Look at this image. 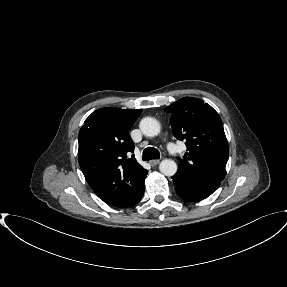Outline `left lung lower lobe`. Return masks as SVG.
I'll list each match as a JSON object with an SVG mask.
<instances>
[{
    "instance_id": "left-lung-lower-lobe-1",
    "label": "left lung lower lobe",
    "mask_w": 287,
    "mask_h": 287,
    "mask_svg": "<svg viewBox=\"0 0 287 287\" xmlns=\"http://www.w3.org/2000/svg\"><path fill=\"white\" fill-rule=\"evenodd\" d=\"M172 179L177 195L183 200L191 202L207 198L220 186V184L187 183L178 176H173Z\"/></svg>"
}]
</instances>
